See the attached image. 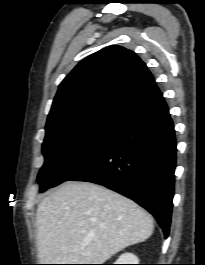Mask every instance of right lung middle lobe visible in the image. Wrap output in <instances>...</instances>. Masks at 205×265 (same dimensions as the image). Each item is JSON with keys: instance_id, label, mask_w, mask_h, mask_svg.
<instances>
[{"instance_id": "right-lung-middle-lobe-1", "label": "right lung middle lobe", "mask_w": 205, "mask_h": 265, "mask_svg": "<svg viewBox=\"0 0 205 265\" xmlns=\"http://www.w3.org/2000/svg\"><path fill=\"white\" fill-rule=\"evenodd\" d=\"M122 125L97 122L62 132L46 133L42 144L45 163L37 182L40 191L67 180L95 158L119 132Z\"/></svg>"}]
</instances>
